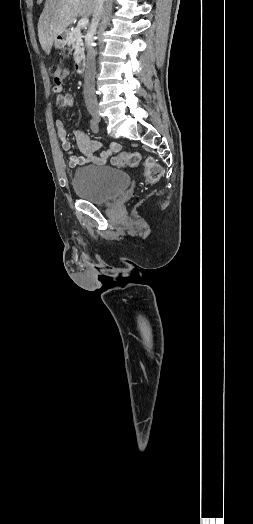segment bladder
<instances>
[{
    "label": "bladder",
    "instance_id": "31cf9c89",
    "mask_svg": "<svg viewBox=\"0 0 253 524\" xmlns=\"http://www.w3.org/2000/svg\"><path fill=\"white\" fill-rule=\"evenodd\" d=\"M129 185L126 172L108 166L89 165L73 173L72 186L78 199L103 205L115 199Z\"/></svg>",
    "mask_w": 253,
    "mask_h": 524
}]
</instances>
